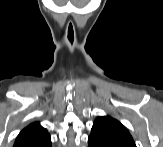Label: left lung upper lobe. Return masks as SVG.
<instances>
[{
    "mask_svg": "<svg viewBox=\"0 0 163 147\" xmlns=\"http://www.w3.org/2000/svg\"><path fill=\"white\" fill-rule=\"evenodd\" d=\"M91 132L111 136H123L132 139V136L125 126L110 116L97 117L94 121Z\"/></svg>",
    "mask_w": 163,
    "mask_h": 147,
    "instance_id": "5c2ea615",
    "label": "left lung upper lobe"
}]
</instances>
